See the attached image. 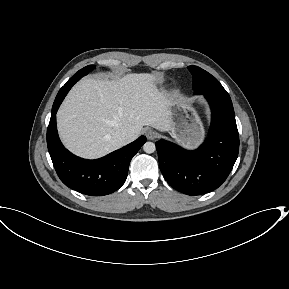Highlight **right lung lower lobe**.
<instances>
[{"label":"right lung lower lobe","mask_w":289,"mask_h":289,"mask_svg":"<svg viewBox=\"0 0 289 289\" xmlns=\"http://www.w3.org/2000/svg\"><path fill=\"white\" fill-rule=\"evenodd\" d=\"M83 75L75 74L59 90L47 129V146L60 180L69 188L90 196H103L118 190L125 182L132 157L146 142L140 136L136 141L96 160L79 158L62 145L56 127V113L71 87Z\"/></svg>","instance_id":"98d812e1"}]
</instances>
